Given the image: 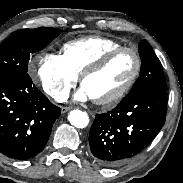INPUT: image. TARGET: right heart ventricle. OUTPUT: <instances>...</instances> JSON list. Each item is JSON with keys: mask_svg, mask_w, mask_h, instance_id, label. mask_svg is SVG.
I'll use <instances>...</instances> for the list:
<instances>
[{"mask_svg": "<svg viewBox=\"0 0 183 183\" xmlns=\"http://www.w3.org/2000/svg\"><path fill=\"white\" fill-rule=\"evenodd\" d=\"M121 44L103 36H88L66 43L63 46V58L68 67L77 75L96 62L108 51Z\"/></svg>", "mask_w": 183, "mask_h": 183, "instance_id": "1", "label": "right heart ventricle"}]
</instances>
